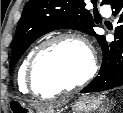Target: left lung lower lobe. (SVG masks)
Segmentation results:
<instances>
[{
	"instance_id": "left-lung-lower-lobe-1",
	"label": "left lung lower lobe",
	"mask_w": 123,
	"mask_h": 113,
	"mask_svg": "<svg viewBox=\"0 0 123 113\" xmlns=\"http://www.w3.org/2000/svg\"><path fill=\"white\" fill-rule=\"evenodd\" d=\"M113 15L118 19L115 41L108 45L105 39L100 43L103 61L99 74L81 93L99 92L123 86V0H111Z\"/></svg>"
}]
</instances>
